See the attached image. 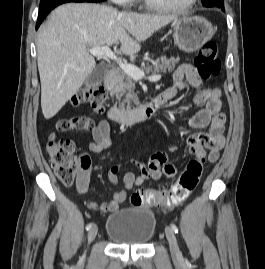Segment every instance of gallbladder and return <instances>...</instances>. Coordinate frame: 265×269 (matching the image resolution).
<instances>
[{"instance_id":"gallbladder-1","label":"gallbladder","mask_w":265,"mask_h":269,"mask_svg":"<svg viewBox=\"0 0 265 269\" xmlns=\"http://www.w3.org/2000/svg\"><path fill=\"white\" fill-rule=\"evenodd\" d=\"M107 72V69L103 65H98L92 73L86 78L85 85L87 87L93 85L94 83L98 81H102L105 73Z\"/></svg>"}]
</instances>
